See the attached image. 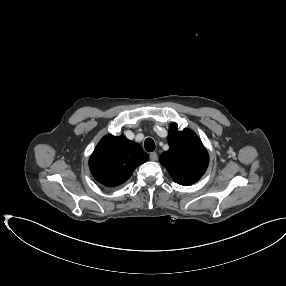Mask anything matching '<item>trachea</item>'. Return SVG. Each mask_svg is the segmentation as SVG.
Segmentation results:
<instances>
[{"label":"trachea","instance_id":"trachea-1","mask_svg":"<svg viewBox=\"0 0 286 286\" xmlns=\"http://www.w3.org/2000/svg\"><path fill=\"white\" fill-rule=\"evenodd\" d=\"M145 150L148 152H153L155 150V142L152 138H147L144 142Z\"/></svg>","mask_w":286,"mask_h":286}]
</instances>
